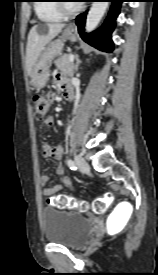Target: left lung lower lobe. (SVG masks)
<instances>
[{"instance_id":"left-lung-lower-lobe-1","label":"left lung lower lobe","mask_w":158,"mask_h":275,"mask_svg":"<svg viewBox=\"0 0 158 275\" xmlns=\"http://www.w3.org/2000/svg\"><path fill=\"white\" fill-rule=\"evenodd\" d=\"M112 2V6L110 12L108 14L107 19L104 24L96 31L86 34L84 32V23L86 13L83 15H79L76 19V24L78 25V31L82 37V39L90 44L91 46L104 51V52H112L114 45L111 39V33L115 26V19L117 18L120 12V6L122 0H108Z\"/></svg>"}]
</instances>
